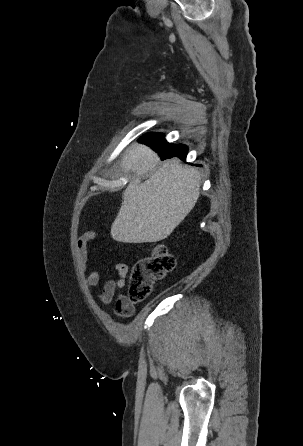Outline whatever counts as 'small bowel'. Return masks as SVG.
I'll list each match as a JSON object with an SVG mask.
<instances>
[{
    "label": "small bowel",
    "instance_id": "obj_1",
    "mask_svg": "<svg viewBox=\"0 0 303 446\" xmlns=\"http://www.w3.org/2000/svg\"><path fill=\"white\" fill-rule=\"evenodd\" d=\"M96 239L94 231H87L77 240V255L80 270L86 273L88 261V249L90 244ZM115 270L118 274L117 279L107 280L98 298L101 303L109 305L116 297L115 308L113 313L121 318H127L134 314L135 308L133 304L127 302L126 296L119 292L125 286V278L128 275V266L124 263H117ZM100 281V274L97 270H91L85 275V282L88 286H96Z\"/></svg>",
    "mask_w": 303,
    "mask_h": 446
}]
</instances>
